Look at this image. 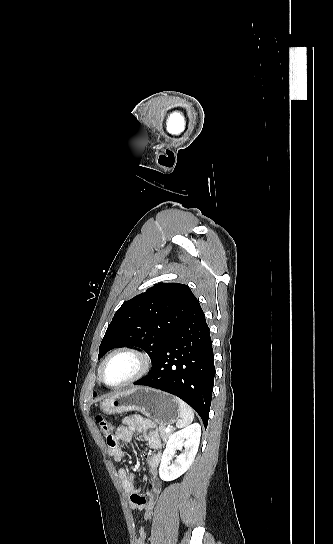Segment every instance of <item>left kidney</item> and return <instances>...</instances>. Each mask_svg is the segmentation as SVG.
Instances as JSON below:
<instances>
[{
  "instance_id": "left-kidney-1",
  "label": "left kidney",
  "mask_w": 333,
  "mask_h": 544,
  "mask_svg": "<svg viewBox=\"0 0 333 544\" xmlns=\"http://www.w3.org/2000/svg\"><path fill=\"white\" fill-rule=\"evenodd\" d=\"M200 436L201 427L194 423L169 437L159 467V476L162 480L177 479L189 469L198 451ZM176 449H180L182 453L171 463Z\"/></svg>"
}]
</instances>
